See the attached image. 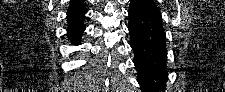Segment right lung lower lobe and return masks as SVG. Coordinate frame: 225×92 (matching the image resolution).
Here are the masks:
<instances>
[{"label": "right lung lower lobe", "instance_id": "98d812e1", "mask_svg": "<svg viewBox=\"0 0 225 92\" xmlns=\"http://www.w3.org/2000/svg\"><path fill=\"white\" fill-rule=\"evenodd\" d=\"M83 21L84 14L72 19H67V36L74 45L80 44V37L82 36L85 29Z\"/></svg>", "mask_w": 225, "mask_h": 92}]
</instances>
